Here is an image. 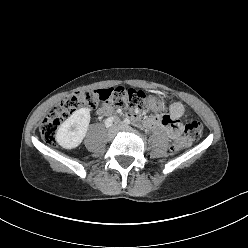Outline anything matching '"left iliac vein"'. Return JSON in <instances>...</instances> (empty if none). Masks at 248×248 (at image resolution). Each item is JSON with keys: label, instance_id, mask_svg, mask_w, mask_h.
Instances as JSON below:
<instances>
[{"label": "left iliac vein", "instance_id": "1", "mask_svg": "<svg viewBox=\"0 0 248 248\" xmlns=\"http://www.w3.org/2000/svg\"><path fill=\"white\" fill-rule=\"evenodd\" d=\"M118 128L121 131H132V129L129 126H127V125H125L123 123H120L119 126H118Z\"/></svg>", "mask_w": 248, "mask_h": 248}]
</instances>
